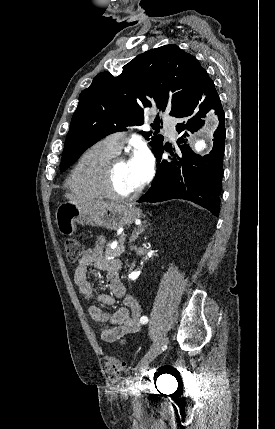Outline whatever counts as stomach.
I'll return each instance as SVG.
<instances>
[{"label":"stomach","instance_id":"1","mask_svg":"<svg viewBox=\"0 0 275 429\" xmlns=\"http://www.w3.org/2000/svg\"><path fill=\"white\" fill-rule=\"evenodd\" d=\"M140 216L141 211L131 204H117L103 210L90 211L80 209L76 204L65 202L58 206L55 221L60 233L69 236L76 232V224L117 230L132 224Z\"/></svg>","mask_w":275,"mask_h":429}]
</instances>
